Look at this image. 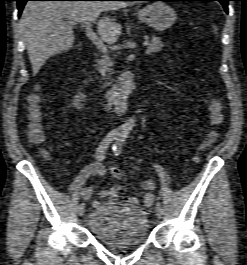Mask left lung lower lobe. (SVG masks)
Listing matches in <instances>:
<instances>
[{
  "instance_id": "1",
  "label": "left lung lower lobe",
  "mask_w": 247,
  "mask_h": 265,
  "mask_svg": "<svg viewBox=\"0 0 247 265\" xmlns=\"http://www.w3.org/2000/svg\"><path fill=\"white\" fill-rule=\"evenodd\" d=\"M130 1H180V0H130ZM193 1H219L223 5L225 12L228 13V2L231 0H193Z\"/></svg>"
}]
</instances>
